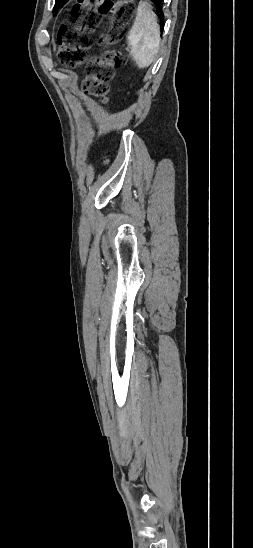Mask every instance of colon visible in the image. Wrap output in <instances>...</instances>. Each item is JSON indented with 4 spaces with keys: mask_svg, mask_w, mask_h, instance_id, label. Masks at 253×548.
I'll return each instance as SVG.
<instances>
[{
    "mask_svg": "<svg viewBox=\"0 0 253 548\" xmlns=\"http://www.w3.org/2000/svg\"><path fill=\"white\" fill-rule=\"evenodd\" d=\"M110 14L118 22L101 39V44L111 46L121 39V25L134 13L132 0H77L72 10V24L64 25L58 33L60 61L72 68L85 65L86 77L82 83L85 94L104 99L114 71L124 65L123 55L111 48L89 59L92 34L99 23V15Z\"/></svg>",
    "mask_w": 253,
    "mask_h": 548,
    "instance_id": "1",
    "label": "colon"
}]
</instances>
